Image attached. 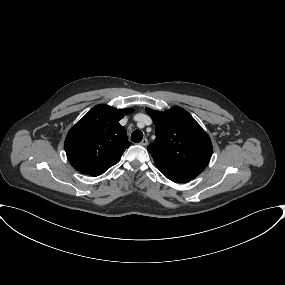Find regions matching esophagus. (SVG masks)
<instances>
[{
    "mask_svg": "<svg viewBox=\"0 0 285 285\" xmlns=\"http://www.w3.org/2000/svg\"><path fill=\"white\" fill-rule=\"evenodd\" d=\"M140 144L142 146H147L148 145V140L146 138L142 139V141L140 142Z\"/></svg>",
    "mask_w": 285,
    "mask_h": 285,
    "instance_id": "34e87169",
    "label": "esophagus"
}]
</instances>
